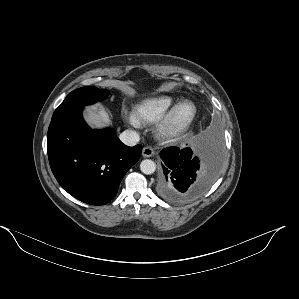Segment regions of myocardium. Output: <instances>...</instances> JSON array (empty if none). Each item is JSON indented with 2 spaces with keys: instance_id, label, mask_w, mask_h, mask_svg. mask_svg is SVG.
Listing matches in <instances>:
<instances>
[{
  "instance_id": "f54148a6",
  "label": "myocardium",
  "mask_w": 299,
  "mask_h": 299,
  "mask_svg": "<svg viewBox=\"0 0 299 299\" xmlns=\"http://www.w3.org/2000/svg\"><path fill=\"white\" fill-rule=\"evenodd\" d=\"M189 112L182 119V112ZM196 107L190 101H182L175 105L171 110L160 120L157 126V135L162 139H171L183 133L192 124L196 117Z\"/></svg>"
}]
</instances>
